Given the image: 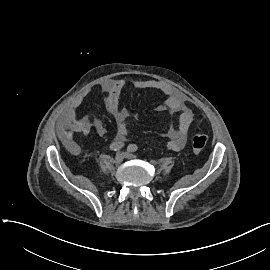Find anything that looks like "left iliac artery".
Masks as SVG:
<instances>
[{
	"instance_id": "44dca946",
	"label": "left iliac artery",
	"mask_w": 270,
	"mask_h": 270,
	"mask_svg": "<svg viewBox=\"0 0 270 270\" xmlns=\"http://www.w3.org/2000/svg\"><path fill=\"white\" fill-rule=\"evenodd\" d=\"M138 149V147L135 145V144H130L128 147H127V151L129 152H136Z\"/></svg>"
}]
</instances>
